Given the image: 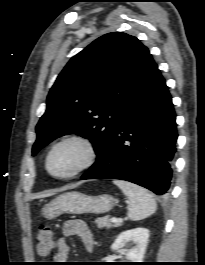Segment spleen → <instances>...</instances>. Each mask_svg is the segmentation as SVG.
Returning <instances> with one entry per match:
<instances>
[{
    "label": "spleen",
    "mask_w": 205,
    "mask_h": 265,
    "mask_svg": "<svg viewBox=\"0 0 205 265\" xmlns=\"http://www.w3.org/2000/svg\"><path fill=\"white\" fill-rule=\"evenodd\" d=\"M113 182L129 199L128 216L131 220H142L156 212V201L148 190L122 180Z\"/></svg>",
    "instance_id": "spleen-1"
}]
</instances>
